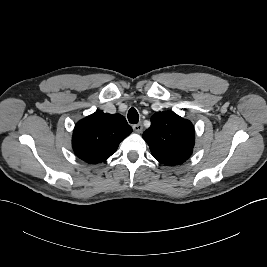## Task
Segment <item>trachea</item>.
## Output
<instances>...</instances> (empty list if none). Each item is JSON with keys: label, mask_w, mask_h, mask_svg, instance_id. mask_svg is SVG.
<instances>
[{"label": "trachea", "mask_w": 267, "mask_h": 267, "mask_svg": "<svg viewBox=\"0 0 267 267\" xmlns=\"http://www.w3.org/2000/svg\"><path fill=\"white\" fill-rule=\"evenodd\" d=\"M128 121L131 124H137L139 121V114L136 111L135 108H130V110L128 111Z\"/></svg>", "instance_id": "3493384b"}]
</instances>
